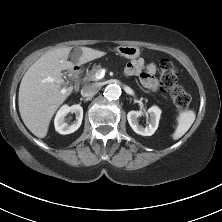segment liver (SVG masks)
<instances>
[{
    "label": "liver",
    "mask_w": 222,
    "mask_h": 222,
    "mask_svg": "<svg viewBox=\"0 0 222 222\" xmlns=\"http://www.w3.org/2000/svg\"><path fill=\"white\" fill-rule=\"evenodd\" d=\"M76 52V65H82L106 54L88 47ZM71 47H63L42 55L24 74L18 95L20 116L26 127L38 138L47 135L50 121L59 106L69 97L73 87L62 88V70L72 69L68 61ZM53 78V82L47 78Z\"/></svg>",
    "instance_id": "1"
}]
</instances>
